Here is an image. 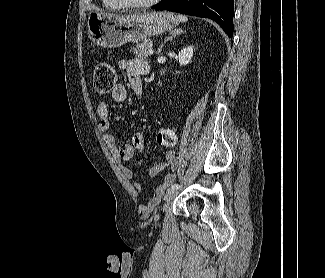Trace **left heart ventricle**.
I'll return each mask as SVG.
<instances>
[{"mask_svg":"<svg viewBox=\"0 0 325 278\" xmlns=\"http://www.w3.org/2000/svg\"><path fill=\"white\" fill-rule=\"evenodd\" d=\"M131 1L141 2V1H146V0H131Z\"/></svg>","mask_w":325,"mask_h":278,"instance_id":"left-heart-ventricle-1","label":"left heart ventricle"}]
</instances>
